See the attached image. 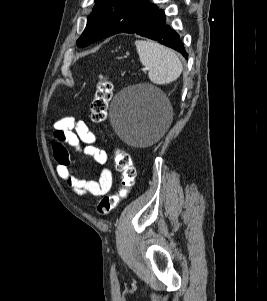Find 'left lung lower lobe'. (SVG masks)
<instances>
[{
	"mask_svg": "<svg viewBox=\"0 0 267 301\" xmlns=\"http://www.w3.org/2000/svg\"><path fill=\"white\" fill-rule=\"evenodd\" d=\"M121 32L138 34L151 40L158 41L159 43L180 52L185 58L188 57L179 34L171 29L166 23L164 12L158 7L144 19L126 27Z\"/></svg>",
	"mask_w": 267,
	"mask_h": 301,
	"instance_id": "left-lung-lower-lobe-1",
	"label": "left lung lower lobe"
}]
</instances>
